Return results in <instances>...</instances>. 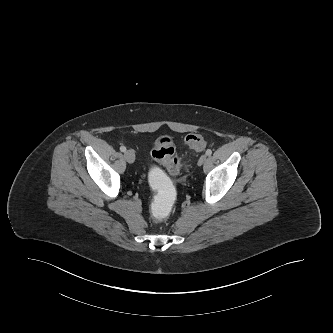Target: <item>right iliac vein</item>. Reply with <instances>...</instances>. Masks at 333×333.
Instances as JSON below:
<instances>
[{"instance_id": "63e3f726", "label": "right iliac vein", "mask_w": 333, "mask_h": 333, "mask_svg": "<svg viewBox=\"0 0 333 333\" xmlns=\"http://www.w3.org/2000/svg\"><path fill=\"white\" fill-rule=\"evenodd\" d=\"M124 157L128 163H134L135 161V153L131 149L125 151Z\"/></svg>"}]
</instances>
